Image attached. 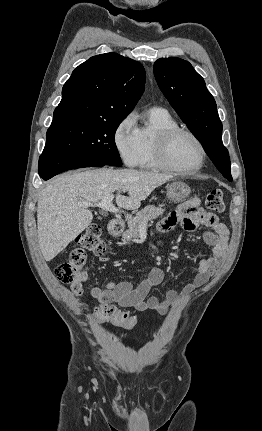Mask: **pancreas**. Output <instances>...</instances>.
<instances>
[{"label":"pancreas","instance_id":"cf45deb5","mask_svg":"<svg viewBox=\"0 0 262 431\" xmlns=\"http://www.w3.org/2000/svg\"><path fill=\"white\" fill-rule=\"evenodd\" d=\"M163 212L164 210L162 208L153 205L146 206L143 210L138 212L134 218H128L127 223L129 229L122 234V238L126 242L138 238L141 226L146 225L148 221L158 218Z\"/></svg>","mask_w":262,"mask_h":431}]
</instances>
